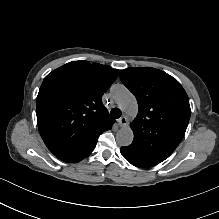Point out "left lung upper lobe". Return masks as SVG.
Instances as JSON below:
<instances>
[{
	"label": "left lung upper lobe",
	"mask_w": 219,
	"mask_h": 219,
	"mask_svg": "<svg viewBox=\"0 0 219 219\" xmlns=\"http://www.w3.org/2000/svg\"><path fill=\"white\" fill-rule=\"evenodd\" d=\"M123 84L136 97L138 115L130 124L134 139L130 147L162 162L183 139L191 109L181 84L152 67H129L120 71Z\"/></svg>",
	"instance_id": "5c2ea615"
}]
</instances>
